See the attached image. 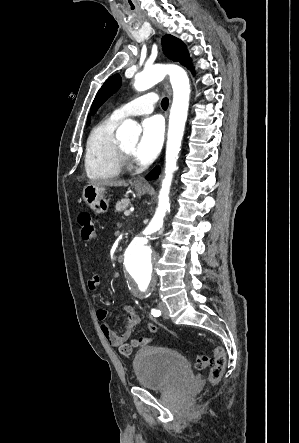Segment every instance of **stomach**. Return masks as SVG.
<instances>
[{"mask_svg": "<svg viewBox=\"0 0 299 443\" xmlns=\"http://www.w3.org/2000/svg\"><path fill=\"white\" fill-rule=\"evenodd\" d=\"M135 190L138 194H145L148 188L135 186ZM82 198L96 214H103L108 211L109 199L106 196L104 186L86 185L82 192Z\"/></svg>", "mask_w": 299, "mask_h": 443, "instance_id": "obj_1", "label": "stomach"}]
</instances>
